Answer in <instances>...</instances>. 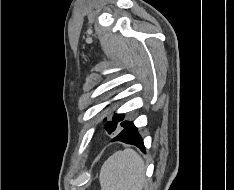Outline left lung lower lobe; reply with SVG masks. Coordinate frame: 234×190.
Returning a JSON list of instances; mask_svg holds the SVG:
<instances>
[{"label": "left lung lower lobe", "mask_w": 234, "mask_h": 190, "mask_svg": "<svg viewBox=\"0 0 234 190\" xmlns=\"http://www.w3.org/2000/svg\"><path fill=\"white\" fill-rule=\"evenodd\" d=\"M111 141H121L127 144H132L145 152L143 140L139 136L137 128L135 127L133 122L125 121V123L122 125V130L120 131V133Z\"/></svg>", "instance_id": "left-lung-lower-lobe-1"}]
</instances>
